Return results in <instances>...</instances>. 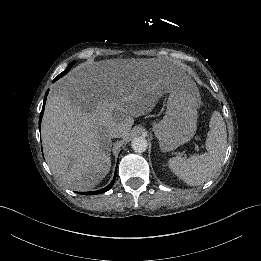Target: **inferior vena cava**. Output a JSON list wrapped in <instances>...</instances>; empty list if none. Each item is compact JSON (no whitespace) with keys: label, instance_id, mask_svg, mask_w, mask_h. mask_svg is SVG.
Wrapping results in <instances>:
<instances>
[{"label":"inferior vena cava","instance_id":"602c4592","mask_svg":"<svg viewBox=\"0 0 261 261\" xmlns=\"http://www.w3.org/2000/svg\"><path fill=\"white\" fill-rule=\"evenodd\" d=\"M121 135V128L113 127L108 131V137L116 138L120 137Z\"/></svg>","mask_w":261,"mask_h":261}]
</instances>
